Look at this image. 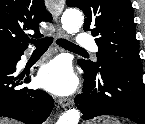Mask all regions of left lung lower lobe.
<instances>
[{
	"mask_svg": "<svg viewBox=\"0 0 145 124\" xmlns=\"http://www.w3.org/2000/svg\"><path fill=\"white\" fill-rule=\"evenodd\" d=\"M86 72L83 92L75 104L88 120L100 115L128 118L145 124V87L142 73L122 66H106L95 72L80 62Z\"/></svg>",
	"mask_w": 145,
	"mask_h": 124,
	"instance_id": "obj_1",
	"label": "left lung lower lobe"
}]
</instances>
